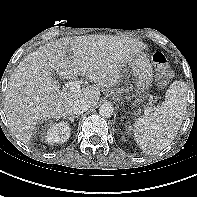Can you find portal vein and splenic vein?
Returning a JSON list of instances; mask_svg holds the SVG:
<instances>
[{
	"label": "portal vein and splenic vein",
	"mask_w": 197,
	"mask_h": 197,
	"mask_svg": "<svg viewBox=\"0 0 197 197\" xmlns=\"http://www.w3.org/2000/svg\"><path fill=\"white\" fill-rule=\"evenodd\" d=\"M70 92L72 93H76V92H79L80 91V84L78 83H73L71 86H70ZM151 111V107H148L145 112L148 113Z\"/></svg>",
	"instance_id": "obj_1"
}]
</instances>
